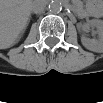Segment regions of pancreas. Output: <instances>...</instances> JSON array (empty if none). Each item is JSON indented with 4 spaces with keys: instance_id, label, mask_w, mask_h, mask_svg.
<instances>
[{
    "instance_id": "pancreas-1",
    "label": "pancreas",
    "mask_w": 103,
    "mask_h": 103,
    "mask_svg": "<svg viewBox=\"0 0 103 103\" xmlns=\"http://www.w3.org/2000/svg\"><path fill=\"white\" fill-rule=\"evenodd\" d=\"M79 7H82L80 3H78ZM83 11V10H82Z\"/></svg>"
}]
</instances>
